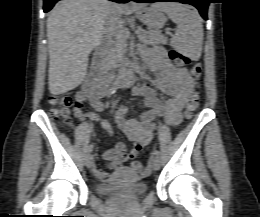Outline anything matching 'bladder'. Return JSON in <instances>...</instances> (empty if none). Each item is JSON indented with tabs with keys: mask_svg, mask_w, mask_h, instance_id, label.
<instances>
[{
	"mask_svg": "<svg viewBox=\"0 0 260 217\" xmlns=\"http://www.w3.org/2000/svg\"><path fill=\"white\" fill-rule=\"evenodd\" d=\"M139 174L128 167L118 168L107 179L106 183L97 185V191L105 197H119L129 201L143 198L147 185L139 182Z\"/></svg>",
	"mask_w": 260,
	"mask_h": 217,
	"instance_id": "obj_1",
	"label": "bladder"
}]
</instances>
